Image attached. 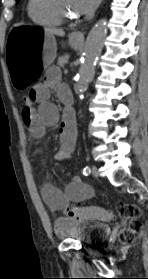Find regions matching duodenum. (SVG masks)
Returning a JSON list of instances; mask_svg holds the SVG:
<instances>
[{
  "label": "duodenum",
  "instance_id": "duodenum-1",
  "mask_svg": "<svg viewBox=\"0 0 148 279\" xmlns=\"http://www.w3.org/2000/svg\"><path fill=\"white\" fill-rule=\"evenodd\" d=\"M64 103L65 104H71V101L70 100H65Z\"/></svg>",
  "mask_w": 148,
  "mask_h": 279
}]
</instances>
